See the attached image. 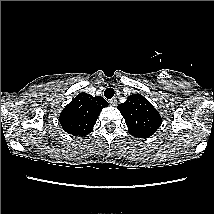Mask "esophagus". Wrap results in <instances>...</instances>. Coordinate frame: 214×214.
<instances>
[{"mask_svg":"<svg viewBox=\"0 0 214 214\" xmlns=\"http://www.w3.org/2000/svg\"><path fill=\"white\" fill-rule=\"evenodd\" d=\"M109 104L112 106H116L117 105V100L116 99H110L109 100Z\"/></svg>","mask_w":214,"mask_h":214,"instance_id":"esophagus-1","label":"esophagus"}]
</instances>
